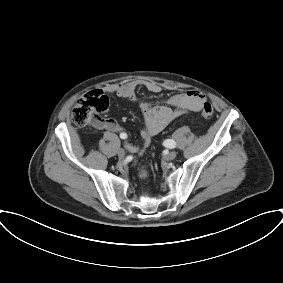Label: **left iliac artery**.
<instances>
[{"mask_svg":"<svg viewBox=\"0 0 283 283\" xmlns=\"http://www.w3.org/2000/svg\"><path fill=\"white\" fill-rule=\"evenodd\" d=\"M164 145L168 148H175L176 142L172 139H167L164 141Z\"/></svg>","mask_w":283,"mask_h":283,"instance_id":"44dca946","label":"left iliac artery"}]
</instances>
